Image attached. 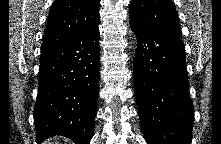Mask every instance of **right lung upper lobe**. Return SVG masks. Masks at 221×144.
<instances>
[{
	"label": "right lung upper lobe",
	"mask_w": 221,
	"mask_h": 144,
	"mask_svg": "<svg viewBox=\"0 0 221 144\" xmlns=\"http://www.w3.org/2000/svg\"><path fill=\"white\" fill-rule=\"evenodd\" d=\"M100 0H56L52 5L41 52L71 41L98 26Z\"/></svg>",
	"instance_id": "1"
}]
</instances>
